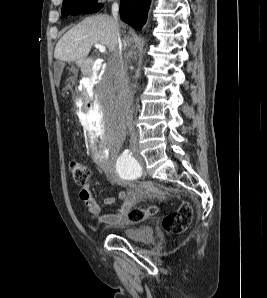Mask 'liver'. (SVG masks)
Masks as SVG:
<instances>
[{
    "mask_svg": "<svg viewBox=\"0 0 267 298\" xmlns=\"http://www.w3.org/2000/svg\"><path fill=\"white\" fill-rule=\"evenodd\" d=\"M97 43L106 46L110 52L118 45L114 21L108 15L87 17L67 31L56 44L54 57L59 61H80Z\"/></svg>",
    "mask_w": 267,
    "mask_h": 298,
    "instance_id": "6515ba94",
    "label": "liver"
}]
</instances>
